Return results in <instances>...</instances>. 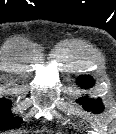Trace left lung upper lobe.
<instances>
[{
    "label": "left lung upper lobe",
    "mask_w": 116,
    "mask_h": 134,
    "mask_svg": "<svg viewBox=\"0 0 116 134\" xmlns=\"http://www.w3.org/2000/svg\"><path fill=\"white\" fill-rule=\"evenodd\" d=\"M77 84L81 85L82 88H90L94 85V80L91 76H79L77 78ZM77 102L83 105V108L87 111H92L93 113H101L104 110V106L101 99H89V98H79Z\"/></svg>",
    "instance_id": "1"
}]
</instances>
